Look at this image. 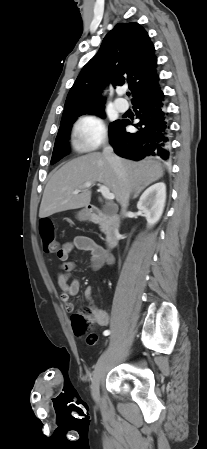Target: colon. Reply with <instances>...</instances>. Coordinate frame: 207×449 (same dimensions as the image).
<instances>
[{
    "instance_id": "obj_1",
    "label": "colon",
    "mask_w": 207,
    "mask_h": 449,
    "mask_svg": "<svg viewBox=\"0 0 207 449\" xmlns=\"http://www.w3.org/2000/svg\"><path fill=\"white\" fill-rule=\"evenodd\" d=\"M40 232L42 237L43 249L46 253H55L58 251V244L55 239L54 225L48 218L40 221ZM89 322L84 314H75L72 318V327L77 335L85 334ZM97 342V334L95 332H88L85 335V343L87 345H95Z\"/></svg>"
}]
</instances>
